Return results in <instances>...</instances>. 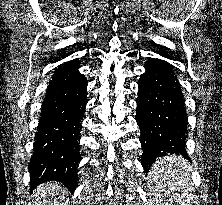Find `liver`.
Instances as JSON below:
<instances>
[{"label":"liver","mask_w":222,"mask_h":205,"mask_svg":"<svg viewBox=\"0 0 222 205\" xmlns=\"http://www.w3.org/2000/svg\"><path fill=\"white\" fill-rule=\"evenodd\" d=\"M65 194L66 189L60 183H44L36 189V205H64Z\"/></svg>","instance_id":"liver-1"}]
</instances>
